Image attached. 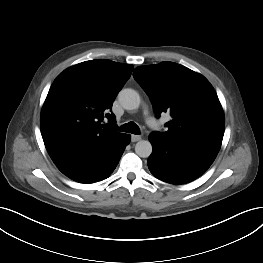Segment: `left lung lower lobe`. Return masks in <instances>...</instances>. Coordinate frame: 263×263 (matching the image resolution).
Wrapping results in <instances>:
<instances>
[{
	"instance_id": "obj_1",
	"label": "left lung lower lobe",
	"mask_w": 263,
	"mask_h": 263,
	"mask_svg": "<svg viewBox=\"0 0 263 263\" xmlns=\"http://www.w3.org/2000/svg\"><path fill=\"white\" fill-rule=\"evenodd\" d=\"M153 152L148 158L150 172L171 184H184L200 177L215 160L220 146L190 137H170L152 132Z\"/></svg>"
}]
</instances>
